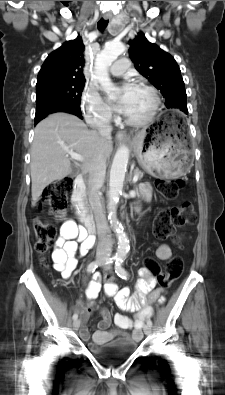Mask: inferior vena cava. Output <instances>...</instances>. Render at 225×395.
Segmentation results:
<instances>
[{"label":"inferior vena cava","instance_id":"inferior-vena-cava-1","mask_svg":"<svg viewBox=\"0 0 225 395\" xmlns=\"http://www.w3.org/2000/svg\"><path fill=\"white\" fill-rule=\"evenodd\" d=\"M96 125L100 136L110 138L112 126L108 118L97 119ZM105 174L106 159L103 154L99 153L89 166L88 177V197L97 226L99 238L97 253L99 255L109 254L112 248V240L111 237L108 236L107 221L101 203L100 189L104 184Z\"/></svg>","mask_w":225,"mask_h":395}]
</instances>
